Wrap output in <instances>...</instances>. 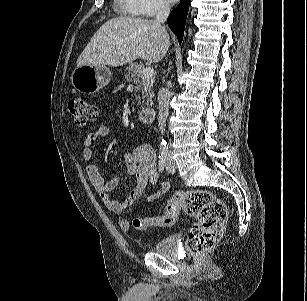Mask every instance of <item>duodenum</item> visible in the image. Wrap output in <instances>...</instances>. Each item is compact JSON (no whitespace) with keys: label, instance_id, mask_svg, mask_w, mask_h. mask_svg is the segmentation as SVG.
<instances>
[{"label":"duodenum","instance_id":"duodenum-1","mask_svg":"<svg viewBox=\"0 0 307 301\" xmlns=\"http://www.w3.org/2000/svg\"><path fill=\"white\" fill-rule=\"evenodd\" d=\"M155 118V109L153 107L143 108L139 111L138 119L142 124H151Z\"/></svg>","mask_w":307,"mask_h":301}]
</instances>
